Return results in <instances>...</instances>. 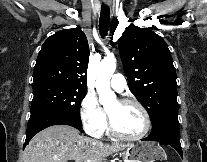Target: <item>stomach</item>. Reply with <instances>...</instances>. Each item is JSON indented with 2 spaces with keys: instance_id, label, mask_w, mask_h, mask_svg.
<instances>
[{
  "instance_id": "1",
  "label": "stomach",
  "mask_w": 207,
  "mask_h": 162,
  "mask_svg": "<svg viewBox=\"0 0 207 162\" xmlns=\"http://www.w3.org/2000/svg\"><path fill=\"white\" fill-rule=\"evenodd\" d=\"M119 155L125 162H155L167 158L164 149L154 142L132 143Z\"/></svg>"
}]
</instances>
